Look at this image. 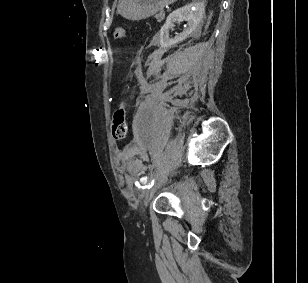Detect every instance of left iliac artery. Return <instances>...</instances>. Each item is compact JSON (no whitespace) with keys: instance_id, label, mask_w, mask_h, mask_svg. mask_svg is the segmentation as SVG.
<instances>
[{"instance_id":"obj_1","label":"left iliac artery","mask_w":308,"mask_h":283,"mask_svg":"<svg viewBox=\"0 0 308 283\" xmlns=\"http://www.w3.org/2000/svg\"><path fill=\"white\" fill-rule=\"evenodd\" d=\"M155 178L154 175L151 176V180L149 181L148 185L146 186L147 189H150L154 184Z\"/></svg>"}]
</instances>
